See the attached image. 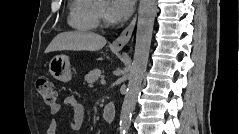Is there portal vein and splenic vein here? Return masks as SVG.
<instances>
[{
    "instance_id": "18ae733b",
    "label": "portal vein and splenic vein",
    "mask_w": 239,
    "mask_h": 134,
    "mask_svg": "<svg viewBox=\"0 0 239 134\" xmlns=\"http://www.w3.org/2000/svg\"><path fill=\"white\" fill-rule=\"evenodd\" d=\"M101 83H102V84H105V80H104V79H102V80H101Z\"/></svg>"
}]
</instances>
